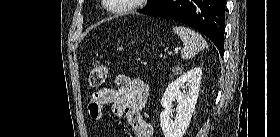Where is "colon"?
Wrapping results in <instances>:
<instances>
[{"label": "colon", "instance_id": "5ec220e1", "mask_svg": "<svg viewBox=\"0 0 280 137\" xmlns=\"http://www.w3.org/2000/svg\"><path fill=\"white\" fill-rule=\"evenodd\" d=\"M109 67L106 65H97L91 68L88 75V84L91 88L101 87L109 74Z\"/></svg>", "mask_w": 280, "mask_h": 137}]
</instances>
